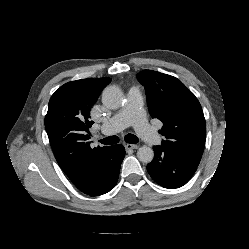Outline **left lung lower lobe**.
<instances>
[{
  "label": "left lung lower lobe",
  "instance_id": "obj_1",
  "mask_svg": "<svg viewBox=\"0 0 249 249\" xmlns=\"http://www.w3.org/2000/svg\"><path fill=\"white\" fill-rule=\"evenodd\" d=\"M154 159L147 171L159 185L174 189L186 184L196 171L198 164L163 146H154Z\"/></svg>",
  "mask_w": 249,
  "mask_h": 249
}]
</instances>
